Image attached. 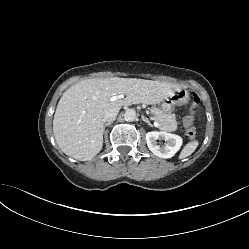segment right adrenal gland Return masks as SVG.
<instances>
[{
    "label": "right adrenal gland",
    "instance_id": "obj_1",
    "mask_svg": "<svg viewBox=\"0 0 249 249\" xmlns=\"http://www.w3.org/2000/svg\"><path fill=\"white\" fill-rule=\"evenodd\" d=\"M112 124V122H108V123H105L104 124V127H103V131L105 132V128L110 126Z\"/></svg>",
    "mask_w": 249,
    "mask_h": 249
}]
</instances>
